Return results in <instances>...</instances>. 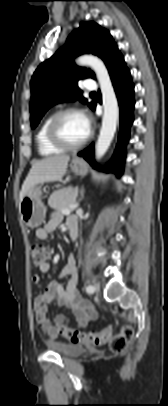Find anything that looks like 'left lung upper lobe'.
I'll use <instances>...</instances> for the list:
<instances>
[{
  "label": "left lung upper lobe",
  "mask_w": 168,
  "mask_h": 406,
  "mask_svg": "<svg viewBox=\"0 0 168 406\" xmlns=\"http://www.w3.org/2000/svg\"><path fill=\"white\" fill-rule=\"evenodd\" d=\"M92 53L106 66L119 50L109 31L94 22H82L68 37L66 43L48 60L41 63L31 79V127L35 128L46 111L56 103L79 100L87 103L78 87V81L95 78L91 70L78 67L74 58ZM95 102L88 103L93 109Z\"/></svg>",
  "instance_id": "1"
}]
</instances>
